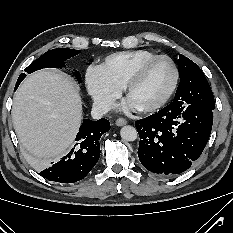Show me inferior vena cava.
<instances>
[{
  "mask_svg": "<svg viewBox=\"0 0 233 233\" xmlns=\"http://www.w3.org/2000/svg\"><path fill=\"white\" fill-rule=\"evenodd\" d=\"M112 109V104L106 101L96 100L92 106V117L94 119L101 118L104 114L109 112Z\"/></svg>",
  "mask_w": 233,
  "mask_h": 233,
  "instance_id": "1",
  "label": "inferior vena cava"
}]
</instances>
